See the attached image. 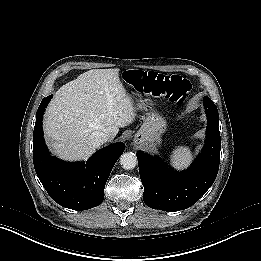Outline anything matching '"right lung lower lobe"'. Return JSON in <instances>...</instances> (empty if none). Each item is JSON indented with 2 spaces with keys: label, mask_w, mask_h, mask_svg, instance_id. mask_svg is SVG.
Returning a JSON list of instances; mask_svg holds the SVG:
<instances>
[{
  "label": "right lung lower lobe",
  "mask_w": 261,
  "mask_h": 261,
  "mask_svg": "<svg viewBox=\"0 0 261 261\" xmlns=\"http://www.w3.org/2000/svg\"><path fill=\"white\" fill-rule=\"evenodd\" d=\"M52 96L43 98L36 113L33 133V163L50 197L63 207L87 210L104 199V187L112 168L125 149L115 143L97 151L86 163H66L52 157L43 138L42 120Z\"/></svg>",
  "instance_id": "1"
}]
</instances>
